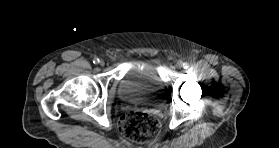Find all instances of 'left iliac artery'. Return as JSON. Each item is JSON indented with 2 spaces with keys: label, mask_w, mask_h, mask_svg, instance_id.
<instances>
[{
  "label": "left iliac artery",
  "mask_w": 279,
  "mask_h": 148,
  "mask_svg": "<svg viewBox=\"0 0 279 148\" xmlns=\"http://www.w3.org/2000/svg\"><path fill=\"white\" fill-rule=\"evenodd\" d=\"M183 68H184V69H187V68H189V63H187V62H184V63H183Z\"/></svg>",
  "instance_id": "1"
}]
</instances>
